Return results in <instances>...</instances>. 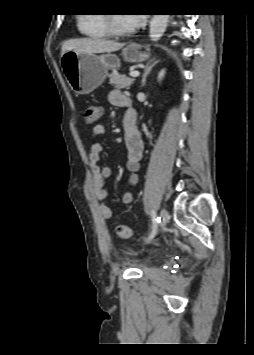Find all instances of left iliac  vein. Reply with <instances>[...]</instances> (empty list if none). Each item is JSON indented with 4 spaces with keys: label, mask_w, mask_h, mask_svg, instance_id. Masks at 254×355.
<instances>
[{
    "label": "left iliac vein",
    "mask_w": 254,
    "mask_h": 355,
    "mask_svg": "<svg viewBox=\"0 0 254 355\" xmlns=\"http://www.w3.org/2000/svg\"><path fill=\"white\" fill-rule=\"evenodd\" d=\"M160 219H161V222H160V227L163 228L166 226V224L168 223L169 221V214H168V211L166 209H162L161 212H160Z\"/></svg>",
    "instance_id": "4c4485c4"
}]
</instances>
